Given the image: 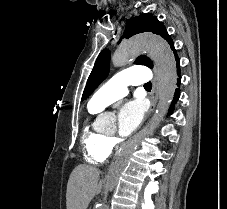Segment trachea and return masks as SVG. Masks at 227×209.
Here are the masks:
<instances>
[{
    "instance_id": "obj_1",
    "label": "trachea",
    "mask_w": 227,
    "mask_h": 209,
    "mask_svg": "<svg viewBox=\"0 0 227 209\" xmlns=\"http://www.w3.org/2000/svg\"><path fill=\"white\" fill-rule=\"evenodd\" d=\"M152 86V83L151 82H147L146 84H144V87L145 88H151Z\"/></svg>"
}]
</instances>
